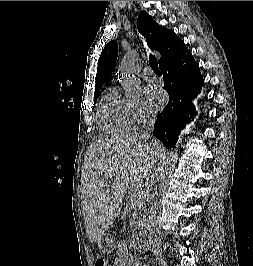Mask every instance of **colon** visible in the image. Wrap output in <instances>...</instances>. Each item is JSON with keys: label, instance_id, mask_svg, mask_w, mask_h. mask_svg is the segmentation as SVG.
Segmentation results:
<instances>
[{"label": "colon", "instance_id": "5ec220e1", "mask_svg": "<svg viewBox=\"0 0 253 266\" xmlns=\"http://www.w3.org/2000/svg\"><path fill=\"white\" fill-rule=\"evenodd\" d=\"M95 266H109V264L105 259L100 258L96 260Z\"/></svg>", "mask_w": 253, "mask_h": 266}]
</instances>
